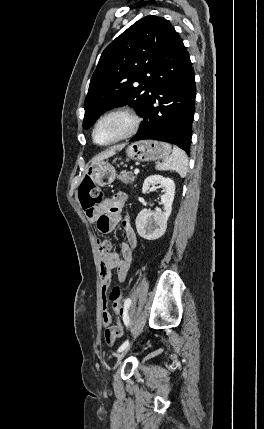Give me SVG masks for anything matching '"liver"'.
Returning a JSON list of instances; mask_svg holds the SVG:
<instances>
[{
	"instance_id": "1",
	"label": "liver",
	"mask_w": 264,
	"mask_h": 429,
	"mask_svg": "<svg viewBox=\"0 0 264 429\" xmlns=\"http://www.w3.org/2000/svg\"><path fill=\"white\" fill-rule=\"evenodd\" d=\"M124 146H125L124 144H122V145H118V146H114V147H112V148H110V149H108V150H106V151L102 152L101 154L97 155V156L92 160V164H94V163H96V162H99V161H102V160H104V159H107V158H109V157L113 156V155L116 153V151H117V150H121V149H123V148H124Z\"/></svg>"
}]
</instances>
